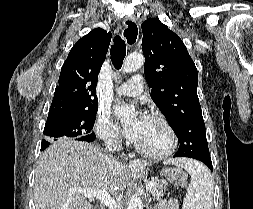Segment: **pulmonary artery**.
I'll return each mask as SVG.
<instances>
[{
	"instance_id": "e3ab8cb5",
	"label": "pulmonary artery",
	"mask_w": 253,
	"mask_h": 209,
	"mask_svg": "<svg viewBox=\"0 0 253 209\" xmlns=\"http://www.w3.org/2000/svg\"><path fill=\"white\" fill-rule=\"evenodd\" d=\"M144 79L140 74L134 75L128 82L123 83L116 89V93L120 96H138L142 93Z\"/></svg>"
}]
</instances>
